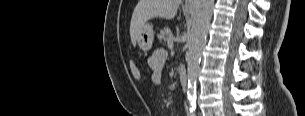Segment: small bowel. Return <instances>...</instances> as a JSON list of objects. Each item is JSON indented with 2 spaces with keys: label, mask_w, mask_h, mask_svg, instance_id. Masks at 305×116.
Instances as JSON below:
<instances>
[{
  "label": "small bowel",
  "mask_w": 305,
  "mask_h": 116,
  "mask_svg": "<svg viewBox=\"0 0 305 116\" xmlns=\"http://www.w3.org/2000/svg\"><path fill=\"white\" fill-rule=\"evenodd\" d=\"M167 58V53L163 49L155 50L148 58V65L152 70V81L156 85H161L163 80V68Z\"/></svg>",
  "instance_id": "obj_1"
}]
</instances>
